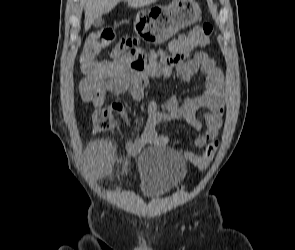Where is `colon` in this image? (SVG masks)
<instances>
[{
  "mask_svg": "<svg viewBox=\"0 0 295 250\" xmlns=\"http://www.w3.org/2000/svg\"><path fill=\"white\" fill-rule=\"evenodd\" d=\"M213 25L209 22H204L195 26L189 34L179 38L181 47L206 46L213 35ZM115 39V32L110 27H103L92 32L83 47L80 64L82 71L86 74L94 73L99 70H104V63H98L96 57L103 49L108 47ZM116 111L109 107L95 109L91 115L93 131L102 133L110 131L115 126L114 113ZM218 148L216 140L206 145L204 152L201 155L191 154L188 160L197 168L205 169L213 160Z\"/></svg>",
  "mask_w": 295,
  "mask_h": 250,
  "instance_id": "colon-1",
  "label": "colon"
}]
</instances>
